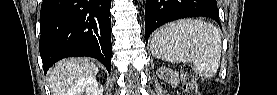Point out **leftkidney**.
<instances>
[{
	"mask_svg": "<svg viewBox=\"0 0 277 95\" xmlns=\"http://www.w3.org/2000/svg\"><path fill=\"white\" fill-rule=\"evenodd\" d=\"M159 73L162 78H164L165 80H168V81H173L175 79V75H176L175 72L168 70L166 68H160Z\"/></svg>",
	"mask_w": 277,
	"mask_h": 95,
	"instance_id": "1",
	"label": "left kidney"
}]
</instances>
